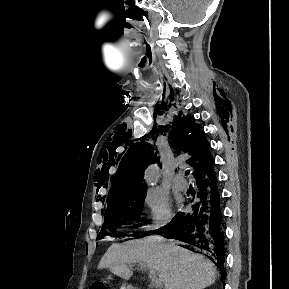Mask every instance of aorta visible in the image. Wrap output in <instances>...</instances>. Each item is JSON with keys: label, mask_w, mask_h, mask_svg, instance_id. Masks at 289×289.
Listing matches in <instances>:
<instances>
[{"label": "aorta", "mask_w": 289, "mask_h": 289, "mask_svg": "<svg viewBox=\"0 0 289 289\" xmlns=\"http://www.w3.org/2000/svg\"><path fill=\"white\" fill-rule=\"evenodd\" d=\"M159 174L156 166H150L144 175V179L149 186H153L158 182Z\"/></svg>", "instance_id": "aorta-1"}]
</instances>
